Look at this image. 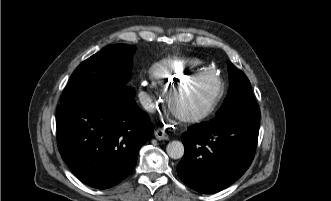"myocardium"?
Returning a JSON list of instances; mask_svg holds the SVG:
<instances>
[{"instance_id":"myocardium-1","label":"myocardium","mask_w":331,"mask_h":201,"mask_svg":"<svg viewBox=\"0 0 331 201\" xmlns=\"http://www.w3.org/2000/svg\"><path fill=\"white\" fill-rule=\"evenodd\" d=\"M206 76L213 77L217 83L216 91L212 95V97L203 106H201L199 109H197L193 112L184 113V112L178 111L175 108L173 100H172V95H173L174 91L177 88L191 84L194 81L201 80L202 78H204ZM224 91H225V86H224L223 80L219 76H217L214 72H210L208 74L200 72V73L193 74L192 76L188 77L185 80H182L178 83H175V84L169 86L166 90L165 100H166V104H167L169 110L171 111V113H173L179 120H181L183 122H196L201 119H204L205 117H207L214 111V109L216 108V106L218 105L220 100L222 99V97L224 95Z\"/></svg>"}]
</instances>
